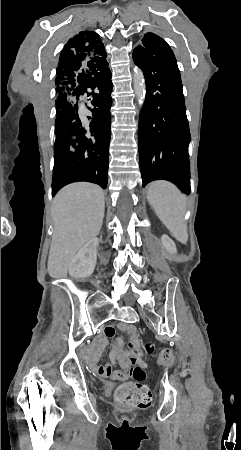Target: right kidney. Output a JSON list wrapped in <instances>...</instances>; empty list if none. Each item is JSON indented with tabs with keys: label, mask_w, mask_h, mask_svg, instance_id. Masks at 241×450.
I'll return each instance as SVG.
<instances>
[{
	"label": "right kidney",
	"mask_w": 241,
	"mask_h": 450,
	"mask_svg": "<svg viewBox=\"0 0 241 450\" xmlns=\"http://www.w3.org/2000/svg\"><path fill=\"white\" fill-rule=\"evenodd\" d=\"M98 242V238H92L74 256L69 266V274L72 278H88L93 274L97 260Z\"/></svg>",
	"instance_id": "ca27d5eb"
}]
</instances>
